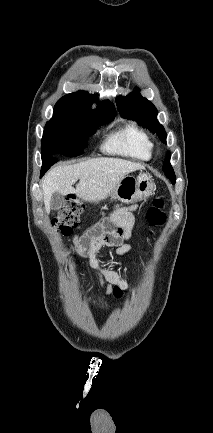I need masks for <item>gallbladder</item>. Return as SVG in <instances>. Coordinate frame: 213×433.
I'll use <instances>...</instances> for the list:
<instances>
[{"label":"gallbladder","instance_id":"gallbladder-1","mask_svg":"<svg viewBox=\"0 0 213 433\" xmlns=\"http://www.w3.org/2000/svg\"><path fill=\"white\" fill-rule=\"evenodd\" d=\"M64 203V197L59 192H54L50 200V208L52 210H59Z\"/></svg>","mask_w":213,"mask_h":433}]
</instances>
